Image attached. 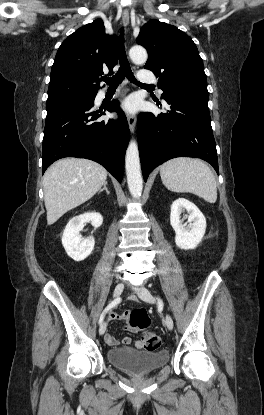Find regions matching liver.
<instances>
[{"label": "liver", "instance_id": "6515ba94", "mask_svg": "<svg viewBox=\"0 0 264 415\" xmlns=\"http://www.w3.org/2000/svg\"><path fill=\"white\" fill-rule=\"evenodd\" d=\"M106 178V169L88 159L64 158L53 163L43 176L47 224H54L66 212L92 198Z\"/></svg>", "mask_w": 264, "mask_h": 415}]
</instances>
